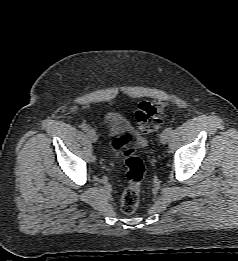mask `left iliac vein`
<instances>
[{
	"label": "left iliac vein",
	"instance_id": "4c4485c4",
	"mask_svg": "<svg viewBox=\"0 0 238 261\" xmlns=\"http://www.w3.org/2000/svg\"><path fill=\"white\" fill-rule=\"evenodd\" d=\"M170 135L171 133L167 129L163 130L160 135V142L166 144L169 141Z\"/></svg>",
	"mask_w": 238,
	"mask_h": 261
}]
</instances>
